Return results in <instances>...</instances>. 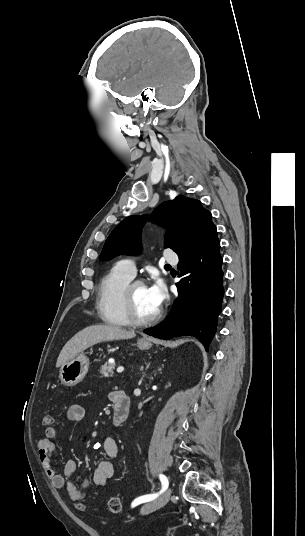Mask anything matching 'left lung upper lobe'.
<instances>
[{"label":"left lung upper lobe","instance_id":"left-lung-upper-lobe-1","mask_svg":"<svg viewBox=\"0 0 305 536\" xmlns=\"http://www.w3.org/2000/svg\"><path fill=\"white\" fill-rule=\"evenodd\" d=\"M211 213L201 202L185 196L162 203L152 213L151 220L168 226L165 248L181 256L191 251L215 225ZM148 216H129L118 224L107 238L99 259L109 260L119 254L138 253L141 228Z\"/></svg>","mask_w":305,"mask_h":536}]
</instances>
